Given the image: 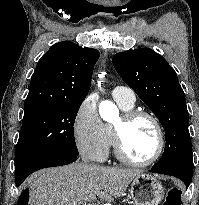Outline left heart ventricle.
<instances>
[{"label":"left heart ventricle","mask_w":199,"mask_h":205,"mask_svg":"<svg viewBox=\"0 0 199 205\" xmlns=\"http://www.w3.org/2000/svg\"><path fill=\"white\" fill-rule=\"evenodd\" d=\"M114 124H120V118ZM122 145L130 158L137 161L149 159L157 147V132L152 122L139 118L123 126Z\"/></svg>","instance_id":"1"}]
</instances>
